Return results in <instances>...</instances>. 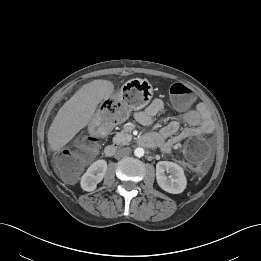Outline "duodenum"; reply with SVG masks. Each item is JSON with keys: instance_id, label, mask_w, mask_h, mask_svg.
<instances>
[{"instance_id": "obj_1", "label": "duodenum", "mask_w": 261, "mask_h": 261, "mask_svg": "<svg viewBox=\"0 0 261 261\" xmlns=\"http://www.w3.org/2000/svg\"><path fill=\"white\" fill-rule=\"evenodd\" d=\"M138 142L146 147H151L154 145L153 139L151 136L148 135H143L139 138ZM116 145L114 144H108L105 149H104V153L106 156L108 157H112L115 153H116Z\"/></svg>"}]
</instances>
